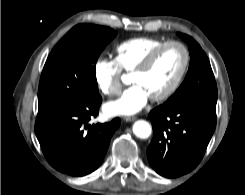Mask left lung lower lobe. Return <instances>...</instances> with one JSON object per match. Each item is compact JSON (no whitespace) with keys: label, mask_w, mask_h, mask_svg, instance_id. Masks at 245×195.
<instances>
[{"label":"left lung lower lobe","mask_w":245,"mask_h":195,"mask_svg":"<svg viewBox=\"0 0 245 195\" xmlns=\"http://www.w3.org/2000/svg\"><path fill=\"white\" fill-rule=\"evenodd\" d=\"M153 139L150 165L167 178L193 170L201 161L216 126V107L164 103L149 115Z\"/></svg>","instance_id":"0a47b994"}]
</instances>
